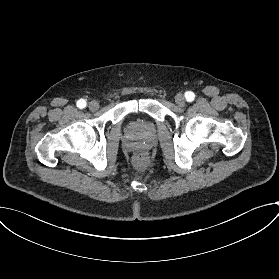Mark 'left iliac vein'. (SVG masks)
I'll list each match as a JSON object with an SVG mask.
<instances>
[{
    "mask_svg": "<svg viewBox=\"0 0 279 279\" xmlns=\"http://www.w3.org/2000/svg\"><path fill=\"white\" fill-rule=\"evenodd\" d=\"M175 103L177 104V106L179 107H184L185 106V98L182 94H177L175 96Z\"/></svg>",
    "mask_w": 279,
    "mask_h": 279,
    "instance_id": "4c4485c4",
    "label": "left iliac vein"
}]
</instances>
